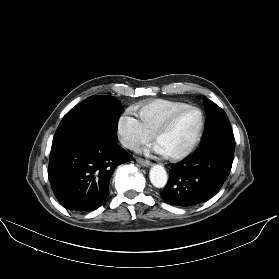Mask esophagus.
<instances>
[{
  "label": "esophagus",
  "mask_w": 279,
  "mask_h": 279,
  "mask_svg": "<svg viewBox=\"0 0 279 279\" xmlns=\"http://www.w3.org/2000/svg\"><path fill=\"white\" fill-rule=\"evenodd\" d=\"M137 163H139L140 165L144 166V167H149L151 165V163L147 160L141 159V158H136Z\"/></svg>",
  "instance_id": "34e87169"
}]
</instances>
